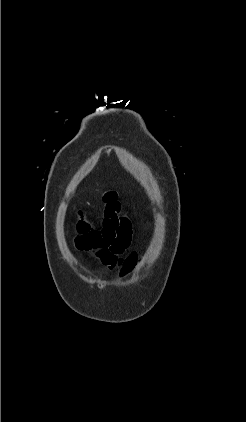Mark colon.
Returning a JSON list of instances; mask_svg holds the SVG:
<instances>
[{"instance_id":"1","label":"colon","mask_w":246,"mask_h":422,"mask_svg":"<svg viewBox=\"0 0 246 422\" xmlns=\"http://www.w3.org/2000/svg\"><path fill=\"white\" fill-rule=\"evenodd\" d=\"M104 201L106 202V204H111V203H116L117 202V193L114 191H108L104 194L103 197ZM79 229L81 231H86L88 228V224L84 221H80L79 224Z\"/></svg>"}]
</instances>
